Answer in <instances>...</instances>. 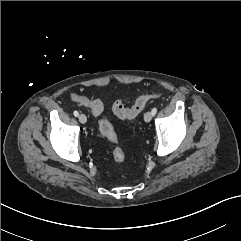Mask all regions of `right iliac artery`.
Segmentation results:
<instances>
[{
  "label": "right iliac artery",
  "instance_id": "82829eb1",
  "mask_svg": "<svg viewBox=\"0 0 241 241\" xmlns=\"http://www.w3.org/2000/svg\"><path fill=\"white\" fill-rule=\"evenodd\" d=\"M73 114L75 117H78V115H79L78 111H74Z\"/></svg>",
  "mask_w": 241,
  "mask_h": 241
}]
</instances>
